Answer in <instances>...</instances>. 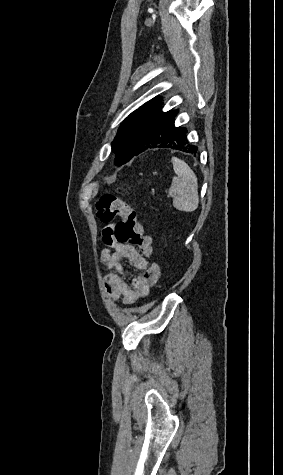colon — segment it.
<instances>
[{
  "label": "colon",
  "mask_w": 283,
  "mask_h": 475,
  "mask_svg": "<svg viewBox=\"0 0 283 475\" xmlns=\"http://www.w3.org/2000/svg\"><path fill=\"white\" fill-rule=\"evenodd\" d=\"M96 216L106 224H120L121 232L114 234L120 243L136 246L148 260L152 251L151 237L145 233L144 226L135 208L114 194H103L96 202Z\"/></svg>",
  "instance_id": "colon-1"
}]
</instances>
